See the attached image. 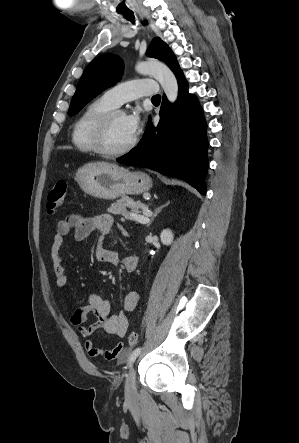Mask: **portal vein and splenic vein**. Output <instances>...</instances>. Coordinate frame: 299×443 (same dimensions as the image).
I'll return each mask as SVG.
<instances>
[{
	"mask_svg": "<svg viewBox=\"0 0 299 443\" xmlns=\"http://www.w3.org/2000/svg\"><path fill=\"white\" fill-rule=\"evenodd\" d=\"M130 216L134 220H137L141 224H147L149 222V217L147 216V214H145V216H144V215H137V214H134V213H130Z\"/></svg>",
	"mask_w": 299,
	"mask_h": 443,
	"instance_id": "obj_1",
	"label": "portal vein and splenic vein"
}]
</instances>
